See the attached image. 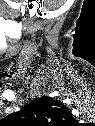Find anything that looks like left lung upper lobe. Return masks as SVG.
I'll return each instance as SVG.
<instances>
[{"mask_svg": "<svg viewBox=\"0 0 95 126\" xmlns=\"http://www.w3.org/2000/svg\"><path fill=\"white\" fill-rule=\"evenodd\" d=\"M7 119L16 126H69L73 116L61 101L44 96L8 115Z\"/></svg>", "mask_w": 95, "mask_h": 126, "instance_id": "left-lung-upper-lobe-1", "label": "left lung upper lobe"}]
</instances>
